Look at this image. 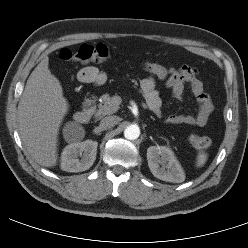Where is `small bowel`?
<instances>
[{
    "mask_svg": "<svg viewBox=\"0 0 248 248\" xmlns=\"http://www.w3.org/2000/svg\"><path fill=\"white\" fill-rule=\"evenodd\" d=\"M79 81L96 86L106 82V75L97 67L87 66L82 68L77 75ZM148 108L158 117L162 116V100L156 90L155 79L145 77L140 82ZM189 86L198 105L195 116L171 114L166 118L168 124H185L189 126L204 127L214 110L210 96L204 91L203 82L198 77L194 68L183 66L178 69L170 68V75L166 80V86L171 90L177 100H182L186 86Z\"/></svg>",
    "mask_w": 248,
    "mask_h": 248,
    "instance_id": "small-bowel-1",
    "label": "small bowel"
}]
</instances>
